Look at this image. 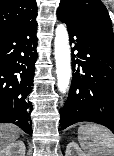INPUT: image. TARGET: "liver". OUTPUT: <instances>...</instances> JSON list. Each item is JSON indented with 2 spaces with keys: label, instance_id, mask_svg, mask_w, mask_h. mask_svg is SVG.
I'll return each instance as SVG.
<instances>
[{
  "label": "liver",
  "instance_id": "1",
  "mask_svg": "<svg viewBox=\"0 0 114 156\" xmlns=\"http://www.w3.org/2000/svg\"><path fill=\"white\" fill-rule=\"evenodd\" d=\"M20 129L9 123L0 124V151L15 142L19 137Z\"/></svg>",
  "mask_w": 114,
  "mask_h": 156
}]
</instances>
